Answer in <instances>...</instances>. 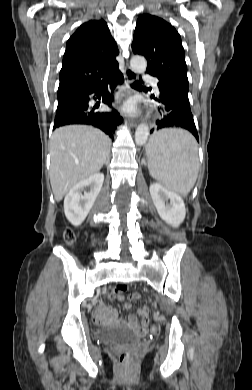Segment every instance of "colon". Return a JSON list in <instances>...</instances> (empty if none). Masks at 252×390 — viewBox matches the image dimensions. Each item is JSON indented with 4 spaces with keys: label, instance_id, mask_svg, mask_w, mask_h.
Masks as SVG:
<instances>
[{
    "label": "colon",
    "instance_id": "1",
    "mask_svg": "<svg viewBox=\"0 0 252 390\" xmlns=\"http://www.w3.org/2000/svg\"><path fill=\"white\" fill-rule=\"evenodd\" d=\"M74 239H75L74 233L71 230H66L64 232V240H65V242L71 244V243L74 242ZM126 290H127V287L125 285H118L116 287V291L119 292V293H124V292H126ZM130 299L131 300H139L140 299V294L132 293V294H130ZM131 357H132V352L130 350H128V349L122 350L119 353V360L122 363L130 361Z\"/></svg>",
    "mask_w": 252,
    "mask_h": 390
}]
</instances>
